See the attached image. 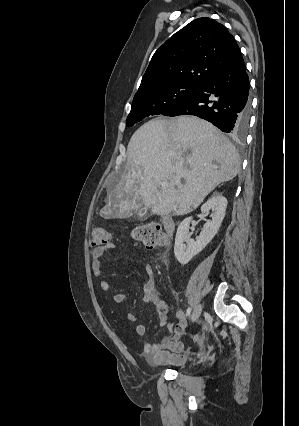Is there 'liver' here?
<instances>
[{
  "label": "liver",
  "mask_w": 299,
  "mask_h": 426,
  "mask_svg": "<svg viewBox=\"0 0 299 426\" xmlns=\"http://www.w3.org/2000/svg\"><path fill=\"white\" fill-rule=\"evenodd\" d=\"M127 153L126 169L100 211L107 219L143 204L156 215H185L240 169L234 145L211 123L187 115L148 121L132 135Z\"/></svg>",
  "instance_id": "obj_1"
}]
</instances>
